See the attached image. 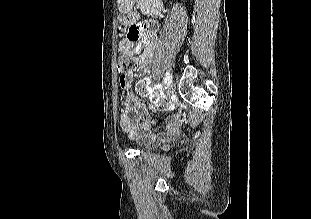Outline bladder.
I'll list each match as a JSON object with an SVG mask.
<instances>
[{
  "mask_svg": "<svg viewBox=\"0 0 311 219\" xmlns=\"http://www.w3.org/2000/svg\"><path fill=\"white\" fill-rule=\"evenodd\" d=\"M156 145H157L156 143H147V144L143 145L141 147V149L146 151V150L154 148Z\"/></svg>",
  "mask_w": 311,
  "mask_h": 219,
  "instance_id": "1",
  "label": "bladder"
}]
</instances>
